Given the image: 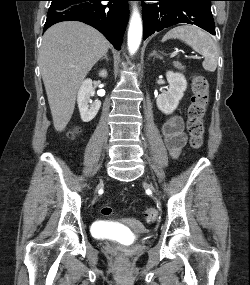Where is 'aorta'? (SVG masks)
I'll use <instances>...</instances> for the list:
<instances>
[{"mask_svg": "<svg viewBox=\"0 0 250 285\" xmlns=\"http://www.w3.org/2000/svg\"><path fill=\"white\" fill-rule=\"evenodd\" d=\"M142 20L138 9L135 7L129 23L128 50L131 55L138 50L142 39Z\"/></svg>", "mask_w": 250, "mask_h": 285, "instance_id": "762f6f07", "label": "aorta"}]
</instances>
